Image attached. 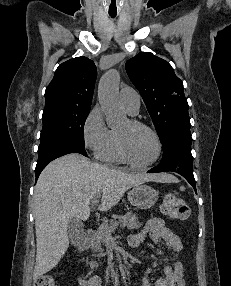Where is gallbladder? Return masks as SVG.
Segmentation results:
<instances>
[{
    "label": "gallbladder",
    "instance_id": "1",
    "mask_svg": "<svg viewBox=\"0 0 231 286\" xmlns=\"http://www.w3.org/2000/svg\"><path fill=\"white\" fill-rule=\"evenodd\" d=\"M69 234H83V224L82 219L79 216L71 217L68 223Z\"/></svg>",
    "mask_w": 231,
    "mask_h": 286
}]
</instances>
